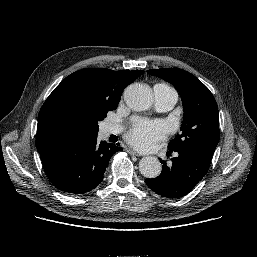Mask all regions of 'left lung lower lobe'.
<instances>
[{
    "label": "left lung lower lobe",
    "instance_id": "0a47b994",
    "mask_svg": "<svg viewBox=\"0 0 257 257\" xmlns=\"http://www.w3.org/2000/svg\"><path fill=\"white\" fill-rule=\"evenodd\" d=\"M173 151H168L170 154ZM172 164L160 159L161 174L154 179H146L147 186L157 194L167 198H178L189 193L207 173L212 154L200 149L177 150Z\"/></svg>",
    "mask_w": 257,
    "mask_h": 257
}]
</instances>
